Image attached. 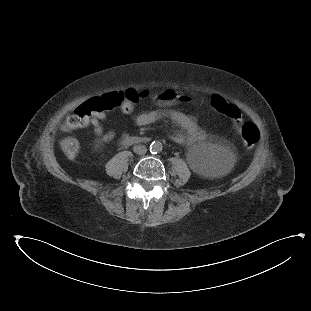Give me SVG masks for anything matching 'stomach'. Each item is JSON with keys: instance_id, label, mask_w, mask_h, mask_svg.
Returning a JSON list of instances; mask_svg holds the SVG:
<instances>
[{"instance_id": "1", "label": "stomach", "mask_w": 311, "mask_h": 311, "mask_svg": "<svg viewBox=\"0 0 311 311\" xmlns=\"http://www.w3.org/2000/svg\"><path fill=\"white\" fill-rule=\"evenodd\" d=\"M155 99L159 104H168V105L172 104L175 101V97L163 98L162 95H157Z\"/></svg>"}]
</instances>
